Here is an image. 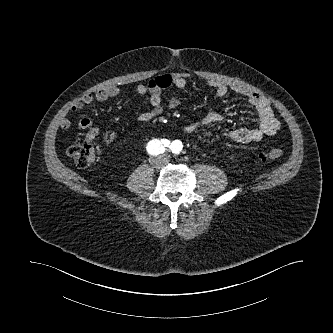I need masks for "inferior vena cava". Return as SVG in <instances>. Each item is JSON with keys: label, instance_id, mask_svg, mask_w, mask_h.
I'll list each match as a JSON object with an SVG mask.
<instances>
[{"label": "inferior vena cava", "instance_id": "inferior-vena-cava-1", "mask_svg": "<svg viewBox=\"0 0 333 333\" xmlns=\"http://www.w3.org/2000/svg\"><path fill=\"white\" fill-rule=\"evenodd\" d=\"M150 163H151L152 165H155V164H156L155 159H154V158H151Z\"/></svg>", "mask_w": 333, "mask_h": 333}]
</instances>
